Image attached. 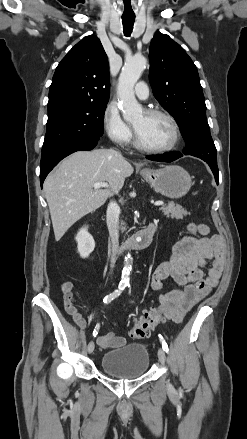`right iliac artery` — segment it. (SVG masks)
Listing matches in <instances>:
<instances>
[{"label": "right iliac artery", "instance_id": "82829eb1", "mask_svg": "<svg viewBox=\"0 0 247 439\" xmlns=\"http://www.w3.org/2000/svg\"><path fill=\"white\" fill-rule=\"evenodd\" d=\"M125 287H126L125 284H121V283H120V284H119V287H118L117 290H115L113 293H110L109 295H107V296L104 298V300H103L104 304H108V303H110L113 299L117 298V297L122 293V291L125 289ZM99 328H100V325L97 324L96 327H95V330H94V332H93V335H94V336L97 335V331L99 330Z\"/></svg>", "mask_w": 247, "mask_h": 439}]
</instances>
